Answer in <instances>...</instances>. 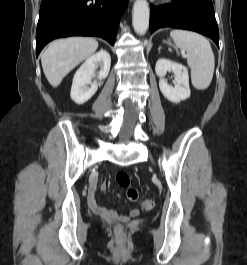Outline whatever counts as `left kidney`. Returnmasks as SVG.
<instances>
[{
	"mask_svg": "<svg viewBox=\"0 0 247 265\" xmlns=\"http://www.w3.org/2000/svg\"><path fill=\"white\" fill-rule=\"evenodd\" d=\"M172 71L175 76V85H168L164 79L166 73ZM156 75L160 78L159 88L164 97L174 103L190 97L189 76L185 66L167 59H159L155 66Z\"/></svg>",
	"mask_w": 247,
	"mask_h": 265,
	"instance_id": "left-kidney-1",
	"label": "left kidney"
}]
</instances>
